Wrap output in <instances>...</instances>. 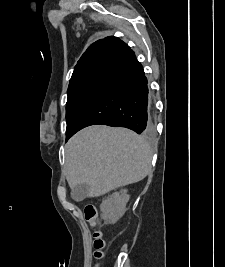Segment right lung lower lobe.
<instances>
[{"mask_svg":"<svg viewBox=\"0 0 225 267\" xmlns=\"http://www.w3.org/2000/svg\"><path fill=\"white\" fill-rule=\"evenodd\" d=\"M97 124L125 127L143 135L152 133L147 78L131 49L116 58L91 90L77 113L70 137Z\"/></svg>","mask_w":225,"mask_h":267,"instance_id":"1","label":"right lung lower lobe"}]
</instances>
